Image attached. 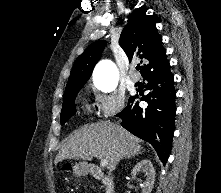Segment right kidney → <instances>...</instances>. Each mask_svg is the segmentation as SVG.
<instances>
[{"instance_id": "ca27d5eb", "label": "right kidney", "mask_w": 221, "mask_h": 193, "mask_svg": "<svg viewBox=\"0 0 221 193\" xmlns=\"http://www.w3.org/2000/svg\"><path fill=\"white\" fill-rule=\"evenodd\" d=\"M139 172H143L147 176L146 180L141 184L142 193H151L155 182V169L152 162L148 159L141 160L134 166L131 175L135 177Z\"/></svg>"}]
</instances>
